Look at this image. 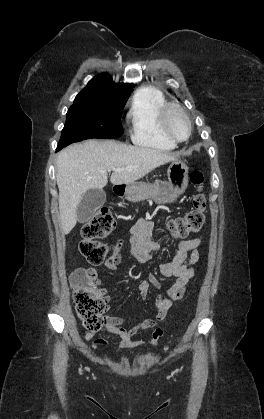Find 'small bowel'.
Segmentation results:
<instances>
[{"mask_svg": "<svg viewBox=\"0 0 264 419\" xmlns=\"http://www.w3.org/2000/svg\"><path fill=\"white\" fill-rule=\"evenodd\" d=\"M153 229V222L148 219H139L130 231V241L135 251L137 260L146 262L151 259L153 249L146 244V240L150 236ZM202 243V237H196L193 239L183 240L178 244L176 254L172 261L163 263L160 265V273L166 278H172L173 284L163 293L159 294L155 301V307L157 313L152 318H147L130 329H126L125 324L129 323L132 318L119 317V316H107L105 318L104 329L120 336L121 348L122 349H133L142 345L141 342L133 341L132 337L139 332L154 328L152 338L150 340L151 345H157L160 337L163 335V329L157 327L166 316L173 303L180 301L186 292V286L189 281L195 275V269L193 265L200 259V252L198 247ZM122 241L119 240L116 246L120 248ZM109 268L114 269L107 265ZM89 276L96 283L100 294L105 298L106 302H110V296L105 288H100V279L98 271L95 267H90L86 270ZM151 287L156 289L161 288V283L157 277L153 274L148 276L147 280H143L138 285V290L143 298H146ZM108 310H111L108 307ZM95 332H88L85 334L86 340H91L94 337ZM94 344L99 347H105L106 341L103 339H97Z\"/></svg>", "mask_w": 264, "mask_h": 419, "instance_id": "1", "label": "small bowel"}]
</instances>
